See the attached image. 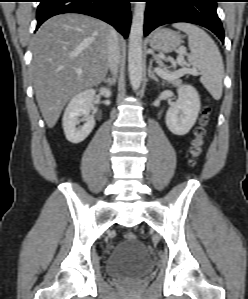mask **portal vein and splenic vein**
<instances>
[{"mask_svg": "<svg viewBox=\"0 0 248 299\" xmlns=\"http://www.w3.org/2000/svg\"><path fill=\"white\" fill-rule=\"evenodd\" d=\"M156 72L162 77V78H179L182 77L185 74H192L195 73L196 70L195 69H191V68H187V67H182L180 70L178 71H174L171 73H168L167 71H164L161 68H156Z\"/></svg>", "mask_w": 248, "mask_h": 299, "instance_id": "18ae733b", "label": "portal vein and splenic vein"}]
</instances>
